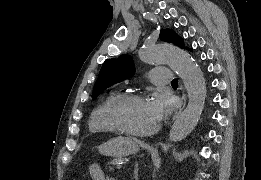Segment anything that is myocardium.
Instances as JSON below:
<instances>
[{
	"label": "myocardium",
	"mask_w": 261,
	"mask_h": 180,
	"mask_svg": "<svg viewBox=\"0 0 261 180\" xmlns=\"http://www.w3.org/2000/svg\"><path fill=\"white\" fill-rule=\"evenodd\" d=\"M143 98H144V95L140 92H130V93L121 94L108 108L107 119H108L109 125H110L115 137L116 136H125V137H129L131 139L149 140L156 136V134L158 133V131L161 128L162 118L160 115H159V119H158L156 126L149 133H147L143 136H140V137L125 135L123 133V131L121 130L119 123L113 117V112L118 107L125 106L128 103H130L131 101L143 99Z\"/></svg>",
	"instance_id": "1"
}]
</instances>
